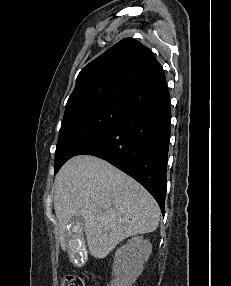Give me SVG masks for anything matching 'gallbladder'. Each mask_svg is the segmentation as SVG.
I'll use <instances>...</instances> for the list:
<instances>
[{
	"instance_id": "obj_1",
	"label": "gallbladder",
	"mask_w": 231,
	"mask_h": 286,
	"mask_svg": "<svg viewBox=\"0 0 231 286\" xmlns=\"http://www.w3.org/2000/svg\"><path fill=\"white\" fill-rule=\"evenodd\" d=\"M83 230H87V225L82 217L72 216L69 223H66V234L68 236L65 241L68 249V256L71 259V263L75 267H84L88 251L86 248V241L83 239Z\"/></svg>"
}]
</instances>
